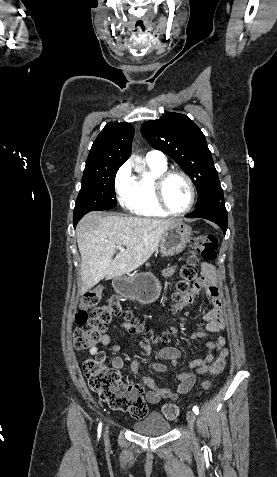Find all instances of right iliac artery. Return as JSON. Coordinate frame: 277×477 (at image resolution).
I'll return each mask as SVG.
<instances>
[{"label":"right iliac artery","instance_id":"1","mask_svg":"<svg viewBox=\"0 0 277 477\" xmlns=\"http://www.w3.org/2000/svg\"><path fill=\"white\" fill-rule=\"evenodd\" d=\"M100 432H101V423L99 424L98 426V434L100 435Z\"/></svg>","mask_w":277,"mask_h":477}]
</instances>
